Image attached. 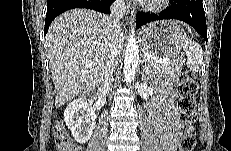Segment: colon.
<instances>
[{"mask_svg": "<svg viewBox=\"0 0 231 151\" xmlns=\"http://www.w3.org/2000/svg\"><path fill=\"white\" fill-rule=\"evenodd\" d=\"M198 84L191 73H187L178 85L179 101L178 107L180 117L186 129L179 143L180 151H193L196 145V134L193 124L196 121V94ZM54 141L58 151H78V146L70 138L66 128L61 121H57L53 127Z\"/></svg>", "mask_w": 231, "mask_h": 151, "instance_id": "colon-1", "label": "colon"}]
</instances>
